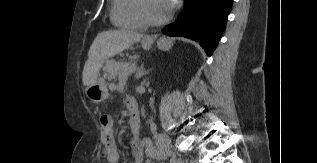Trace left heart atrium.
I'll return each mask as SVG.
<instances>
[{
	"mask_svg": "<svg viewBox=\"0 0 317 163\" xmlns=\"http://www.w3.org/2000/svg\"><path fill=\"white\" fill-rule=\"evenodd\" d=\"M163 1H164L166 8L169 11H171L175 7L176 2H177V0H163Z\"/></svg>",
	"mask_w": 317,
	"mask_h": 163,
	"instance_id": "left-heart-atrium-1",
	"label": "left heart atrium"
}]
</instances>
